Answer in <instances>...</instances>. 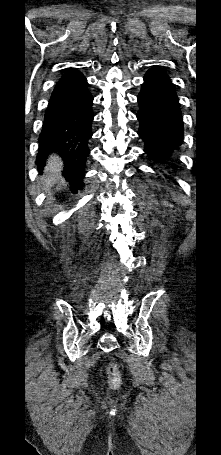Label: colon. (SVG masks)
I'll list each match as a JSON object with an SVG mask.
<instances>
[{"label": "colon", "instance_id": "obj_1", "mask_svg": "<svg viewBox=\"0 0 221 455\" xmlns=\"http://www.w3.org/2000/svg\"><path fill=\"white\" fill-rule=\"evenodd\" d=\"M109 381L114 387H119L121 385V376L115 367L109 369Z\"/></svg>", "mask_w": 221, "mask_h": 455}]
</instances>
